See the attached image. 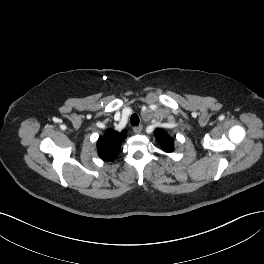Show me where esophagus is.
<instances>
[{"instance_id": "1", "label": "esophagus", "mask_w": 264, "mask_h": 264, "mask_svg": "<svg viewBox=\"0 0 264 264\" xmlns=\"http://www.w3.org/2000/svg\"><path fill=\"white\" fill-rule=\"evenodd\" d=\"M143 127L140 125V126H135L133 128V131L136 133V134H140L141 131H142Z\"/></svg>"}]
</instances>
